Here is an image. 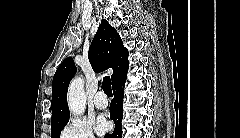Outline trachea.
I'll return each instance as SVG.
<instances>
[{"mask_svg":"<svg viewBox=\"0 0 240 138\" xmlns=\"http://www.w3.org/2000/svg\"><path fill=\"white\" fill-rule=\"evenodd\" d=\"M102 89L107 96L109 97L113 96L111 89V80L108 76L103 78Z\"/></svg>","mask_w":240,"mask_h":138,"instance_id":"obj_1","label":"trachea"}]
</instances>
